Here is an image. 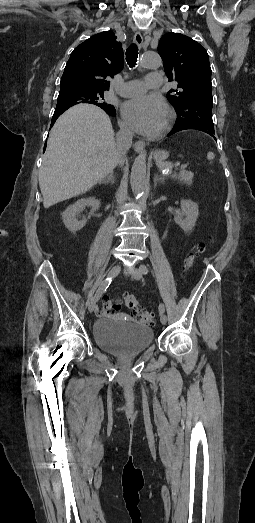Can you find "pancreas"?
Returning a JSON list of instances; mask_svg holds the SVG:
<instances>
[{"instance_id":"pancreas-1","label":"pancreas","mask_w":255,"mask_h":523,"mask_svg":"<svg viewBox=\"0 0 255 523\" xmlns=\"http://www.w3.org/2000/svg\"><path fill=\"white\" fill-rule=\"evenodd\" d=\"M193 178V174L191 172H188V174H180L178 176V180H183L184 184H191Z\"/></svg>"}]
</instances>
